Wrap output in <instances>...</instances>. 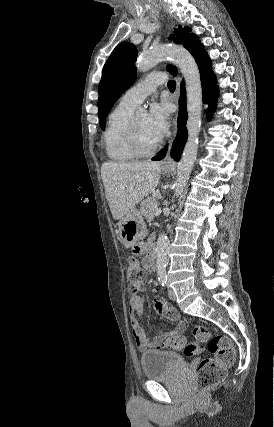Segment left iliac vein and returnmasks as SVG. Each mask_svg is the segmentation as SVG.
I'll return each instance as SVG.
<instances>
[{
  "mask_svg": "<svg viewBox=\"0 0 274 427\" xmlns=\"http://www.w3.org/2000/svg\"><path fill=\"white\" fill-rule=\"evenodd\" d=\"M168 296L171 300H176L175 293H174L173 289H171V288L168 290Z\"/></svg>",
  "mask_w": 274,
  "mask_h": 427,
  "instance_id": "1",
  "label": "left iliac vein"
}]
</instances>
